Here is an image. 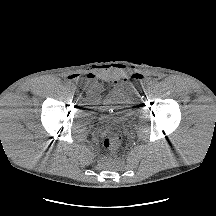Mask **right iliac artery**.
<instances>
[{"label": "right iliac artery", "instance_id": "82829eb1", "mask_svg": "<svg viewBox=\"0 0 216 216\" xmlns=\"http://www.w3.org/2000/svg\"><path fill=\"white\" fill-rule=\"evenodd\" d=\"M67 89H68L69 91H72V90H73V87H72V86H69Z\"/></svg>", "mask_w": 216, "mask_h": 216}]
</instances>
